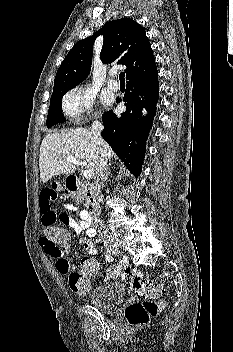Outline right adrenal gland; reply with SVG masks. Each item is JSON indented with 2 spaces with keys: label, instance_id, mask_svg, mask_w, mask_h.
I'll list each match as a JSON object with an SVG mask.
<instances>
[{
  "label": "right adrenal gland",
  "instance_id": "2a0ac1e0",
  "mask_svg": "<svg viewBox=\"0 0 233 352\" xmlns=\"http://www.w3.org/2000/svg\"><path fill=\"white\" fill-rule=\"evenodd\" d=\"M110 166H111V163L109 164V167H108V169H107V171H106V174H105V176H104V179H103V181H102V186H103L104 183L107 181V179H108V177H109V175H110Z\"/></svg>",
  "mask_w": 233,
  "mask_h": 352
}]
</instances>
